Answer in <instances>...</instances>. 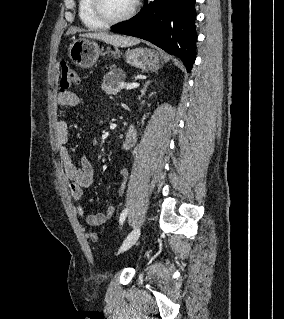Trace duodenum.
Returning <instances> with one entry per match:
<instances>
[{
    "instance_id": "1",
    "label": "duodenum",
    "mask_w": 284,
    "mask_h": 319,
    "mask_svg": "<svg viewBox=\"0 0 284 319\" xmlns=\"http://www.w3.org/2000/svg\"><path fill=\"white\" fill-rule=\"evenodd\" d=\"M137 139V128L135 125H131L123 139V147L128 149L134 145Z\"/></svg>"
}]
</instances>
